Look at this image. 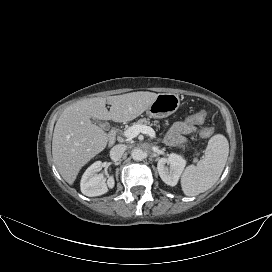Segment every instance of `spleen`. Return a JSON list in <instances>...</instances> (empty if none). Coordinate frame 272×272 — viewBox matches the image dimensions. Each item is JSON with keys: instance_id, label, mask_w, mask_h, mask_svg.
Instances as JSON below:
<instances>
[{"instance_id": "spleen-1", "label": "spleen", "mask_w": 272, "mask_h": 272, "mask_svg": "<svg viewBox=\"0 0 272 272\" xmlns=\"http://www.w3.org/2000/svg\"><path fill=\"white\" fill-rule=\"evenodd\" d=\"M229 154V143L222 134L212 136L203 158L189 165L182 177L181 187L186 196H196L211 188L219 179Z\"/></svg>"}]
</instances>
